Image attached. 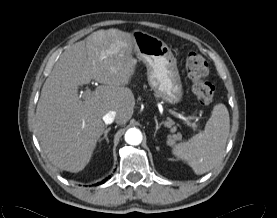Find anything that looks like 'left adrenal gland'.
<instances>
[{
	"mask_svg": "<svg viewBox=\"0 0 277 218\" xmlns=\"http://www.w3.org/2000/svg\"><path fill=\"white\" fill-rule=\"evenodd\" d=\"M154 120H155V123H156V129H155V132H154V137H155V135H156L157 131L160 129L162 123H160V124L158 123L156 116L154 117ZM156 149L159 150V147H157Z\"/></svg>",
	"mask_w": 277,
	"mask_h": 218,
	"instance_id": "obj_1",
	"label": "left adrenal gland"
}]
</instances>
